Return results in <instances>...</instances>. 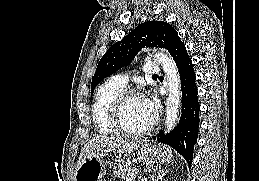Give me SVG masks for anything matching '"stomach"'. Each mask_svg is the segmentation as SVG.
<instances>
[{
	"mask_svg": "<svg viewBox=\"0 0 259 181\" xmlns=\"http://www.w3.org/2000/svg\"><path fill=\"white\" fill-rule=\"evenodd\" d=\"M137 158L148 166L160 165L172 159V152L166 147L146 143L139 148ZM105 165L102 153L86 155L76 168L74 181H103Z\"/></svg>",
	"mask_w": 259,
	"mask_h": 181,
	"instance_id": "1",
	"label": "stomach"
}]
</instances>
